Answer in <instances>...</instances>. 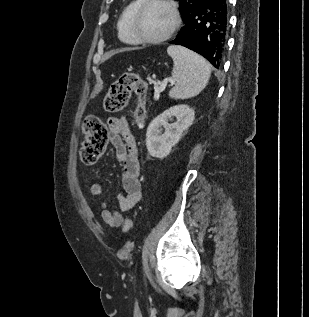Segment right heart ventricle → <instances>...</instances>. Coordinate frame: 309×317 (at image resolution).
Returning <instances> with one entry per match:
<instances>
[{
    "label": "right heart ventricle",
    "instance_id": "obj_1",
    "mask_svg": "<svg viewBox=\"0 0 309 317\" xmlns=\"http://www.w3.org/2000/svg\"><path fill=\"white\" fill-rule=\"evenodd\" d=\"M142 0H132L123 10L117 23L118 36L126 44H137L138 41L131 30V17Z\"/></svg>",
    "mask_w": 309,
    "mask_h": 317
}]
</instances>
